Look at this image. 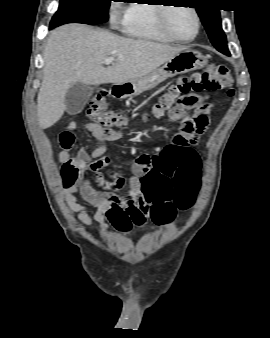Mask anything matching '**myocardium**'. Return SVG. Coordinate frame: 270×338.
<instances>
[{
  "label": "myocardium",
  "mask_w": 270,
  "mask_h": 338,
  "mask_svg": "<svg viewBox=\"0 0 270 338\" xmlns=\"http://www.w3.org/2000/svg\"><path fill=\"white\" fill-rule=\"evenodd\" d=\"M168 6V5H165ZM170 6V5H169ZM177 7V5L171 6V7H159L158 8V26L161 32L167 36L171 41L179 42V43H187L193 41L199 34L200 31V16L198 12L191 7H183L189 9L195 16L196 19V30L193 36L189 38H178L176 37L173 32L171 31L169 27V20L168 15L172 8Z\"/></svg>",
  "instance_id": "1"
}]
</instances>
